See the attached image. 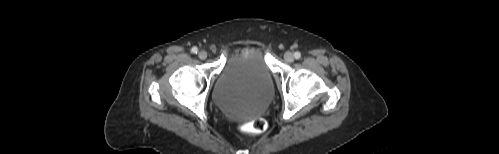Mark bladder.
Instances as JSON below:
<instances>
[{
	"mask_svg": "<svg viewBox=\"0 0 499 154\" xmlns=\"http://www.w3.org/2000/svg\"><path fill=\"white\" fill-rule=\"evenodd\" d=\"M274 89L264 50L258 45H248L228 57L215 82L213 99L226 113L248 117L264 111Z\"/></svg>",
	"mask_w": 499,
	"mask_h": 154,
	"instance_id": "bladder-1",
	"label": "bladder"
}]
</instances>
